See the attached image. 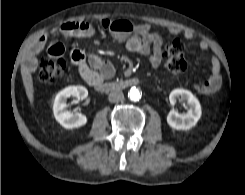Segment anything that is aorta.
I'll return each mask as SVG.
<instances>
[{
  "label": "aorta",
  "instance_id": "obj_1",
  "mask_svg": "<svg viewBox=\"0 0 245 195\" xmlns=\"http://www.w3.org/2000/svg\"><path fill=\"white\" fill-rule=\"evenodd\" d=\"M128 97L132 101H139L141 99L140 91L136 87H132L128 92Z\"/></svg>",
  "mask_w": 245,
  "mask_h": 195
}]
</instances>
